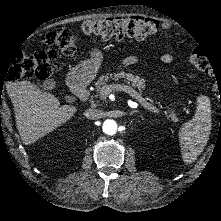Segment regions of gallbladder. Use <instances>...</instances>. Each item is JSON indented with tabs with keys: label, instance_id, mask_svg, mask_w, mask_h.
I'll list each match as a JSON object with an SVG mask.
<instances>
[{
	"label": "gallbladder",
	"instance_id": "1",
	"mask_svg": "<svg viewBox=\"0 0 221 221\" xmlns=\"http://www.w3.org/2000/svg\"><path fill=\"white\" fill-rule=\"evenodd\" d=\"M52 85H55V82L53 79H48L46 81H44L43 86L45 87V89L51 90L52 89Z\"/></svg>",
	"mask_w": 221,
	"mask_h": 221
}]
</instances>
